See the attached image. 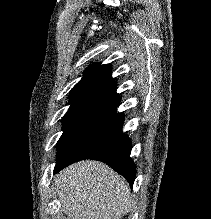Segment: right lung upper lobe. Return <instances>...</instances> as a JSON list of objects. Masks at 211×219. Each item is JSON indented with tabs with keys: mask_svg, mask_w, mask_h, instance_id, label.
I'll return each mask as SVG.
<instances>
[{
	"mask_svg": "<svg viewBox=\"0 0 211 219\" xmlns=\"http://www.w3.org/2000/svg\"><path fill=\"white\" fill-rule=\"evenodd\" d=\"M116 88V82L111 77V66L95 63L86 69L82 79L70 91L69 99L70 102L93 100L118 106L120 100Z\"/></svg>",
	"mask_w": 211,
	"mask_h": 219,
	"instance_id": "cb5924a9",
	"label": "right lung upper lobe"
}]
</instances>
